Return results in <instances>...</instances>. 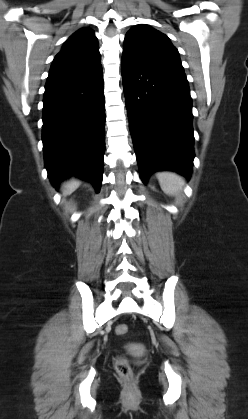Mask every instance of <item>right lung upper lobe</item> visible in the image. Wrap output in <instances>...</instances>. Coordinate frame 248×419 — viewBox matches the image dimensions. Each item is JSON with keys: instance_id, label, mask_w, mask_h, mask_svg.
<instances>
[{"instance_id": "1", "label": "right lung upper lobe", "mask_w": 248, "mask_h": 419, "mask_svg": "<svg viewBox=\"0 0 248 419\" xmlns=\"http://www.w3.org/2000/svg\"><path fill=\"white\" fill-rule=\"evenodd\" d=\"M100 66L97 38L89 28H82L69 37L54 58L47 81L68 79Z\"/></svg>"}]
</instances>
